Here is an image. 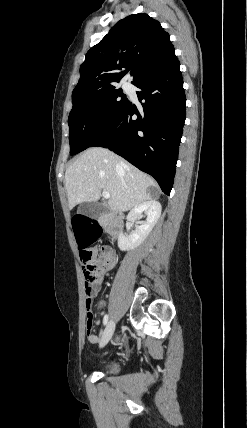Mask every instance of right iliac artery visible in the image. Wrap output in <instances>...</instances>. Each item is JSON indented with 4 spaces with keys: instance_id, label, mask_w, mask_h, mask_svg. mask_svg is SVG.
I'll return each mask as SVG.
<instances>
[{
    "instance_id": "obj_1",
    "label": "right iliac artery",
    "mask_w": 247,
    "mask_h": 428,
    "mask_svg": "<svg viewBox=\"0 0 247 428\" xmlns=\"http://www.w3.org/2000/svg\"><path fill=\"white\" fill-rule=\"evenodd\" d=\"M108 318H109V317H108V315H105V316H104V319H103V324H104V325H106V324H107V322H108Z\"/></svg>"
}]
</instances>
